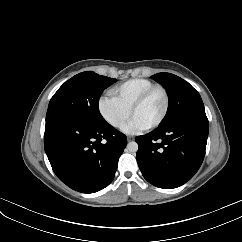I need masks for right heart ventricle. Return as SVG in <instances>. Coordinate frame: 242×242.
<instances>
[{"label":"right heart ventricle","instance_id":"e07e8e85","mask_svg":"<svg viewBox=\"0 0 242 242\" xmlns=\"http://www.w3.org/2000/svg\"><path fill=\"white\" fill-rule=\"evenodd\" d=\"M154 84L147 79H130L111 89V96L123 107L130 110L133 102Z\"/></svg>","mask_w":242,"mask_h":242}]
</instances>
